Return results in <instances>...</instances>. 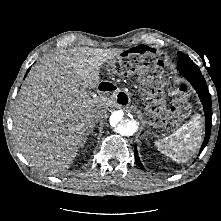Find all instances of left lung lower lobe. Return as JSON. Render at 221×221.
<instances>
[{
    "instance_id": "1",
    "label": "left lung lower lobe",
    "mask_w": 221,
    "mask_h": 221,
    "mask_svg": "<svg viewBox=\"0 0 221 221\" xmlns=\"http://www.w3.org/2000/svg\"><path fill=\"white\" fill-rule=\"evenodd\" d=\"M185 78L191 83V85L194 87V89L197 91L200 100L203 104L204 112H205V126H206V132H205V139L201 146L200 153L205 148L209 141L210 133H211V126H212V108H211V96L208 90V87L206 85V81L204 77L202 76L201 72L195 73V72H184ZM134 154H135V160L139 167L142 168V163L139 159L137 148L134 147Z\"/></svg>"
}]
</instances>
